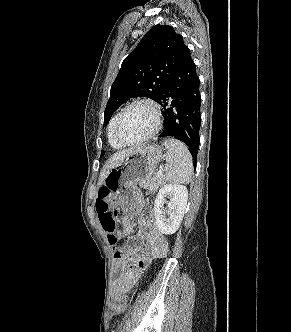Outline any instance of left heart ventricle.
Returning <instances> with one entry per match:
<instances>
[{
    "label": "left heart ventricle",
    "instance_id": "left-heart-ventricle-1",
    "mask_svg": "<svg viewBox=\"0 0 291 332\" xmlns=\"http://www.w3.org/2000/svg\"><path fill=\"white\" fill-rule=\"evenodd\" d=\"M154 124L152 110L145 105H135L122 116L119 133L126 140H137L149 134Z\"/></svg>",
    "mask_w": 291,
    "mask_h": 332
}]
</instances>
